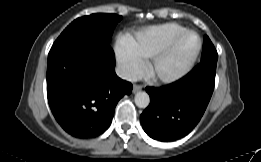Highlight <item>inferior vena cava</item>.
I'll return each mask as SVG.
<instances>
[{"instance_id":"1","label":"inferior vena cava","mask_w":261,"mask_h":162,"mask_svg":"<svg viewBox=\"0 0 261 162\" xmlns=\"http://www.w3.org/2000/svg\"><path fill=\"white\" fill-rule=\"evenodd\" d=\"M116 74L124 80L135 82L137 81L138 77L133 69L125 65H118L115 68Z\"/></svg>"}]
</instances>
